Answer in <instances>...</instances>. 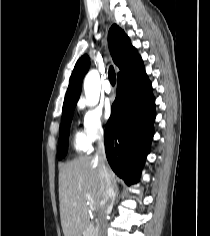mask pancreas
Here are the masks:
<instances>
[{
    "mask_svg": "<svg viewBox=\"0 0 210 236\" xmlns=\"http://www.w3.org/2000/svg\"><path fill=\"white\" fill-rule=\"evenodd\" d=\"M84 236H97V227L94 223H89V225L84 230Z\"/></svg>",
    "mask_w": 210,
    "mask_h": 236,
    "instance_id": "obj_1",
    "label": "pancreas"
}]
</instances>
